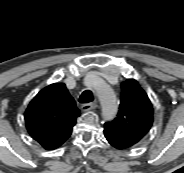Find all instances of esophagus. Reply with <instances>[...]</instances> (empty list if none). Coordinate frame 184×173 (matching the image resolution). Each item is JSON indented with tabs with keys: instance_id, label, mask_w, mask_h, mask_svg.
Here are the masks:
<instances>
[{
	"instance_id": "obj_1",
	"label": "esophagus",
	"mask_w": 184,
	"mask_h": 173,
	"mask_svg": "<svg viewBox=\"0 0 184 173\" xmlns=\"http://www.w3.org/2000/svg\"><path fill=\"white\" fill-rule=\"evenodd\" d=\"M97 108V103H86L81 106L82 111H90Z\"/></svg>"
}]
</instances>
